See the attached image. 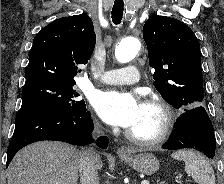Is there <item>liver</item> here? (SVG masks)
I'll list each match as a JSON object with an SVG mask.
<instances>
[{"label": "liver", "instance_id": "liver-1", "mask_svg": "<svg viewBox=\"0 0 224 184\" xmlns=\"http://www.w3.org/2000/svg\"><path fill=\"white\" fill-rule=\"evenodd\" d=\"M80 150L66 143L40 141L21 149L11 161L8 184H77ZM97 169L102 168L99 157Z\"/></svg>", "mask_w": 224, "mask_h": 184}]
</instances>
